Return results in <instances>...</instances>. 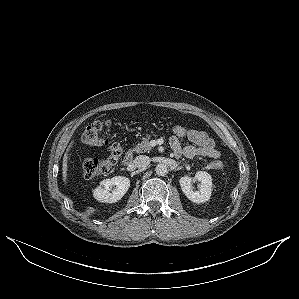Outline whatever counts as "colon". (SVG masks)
Wrapping results in <instances>:
<instances>
[{
    "label": "colon",
    "instance_id": "colon-1",
    "mask_svg": "<svg viewBox=\"0 0 299 299\" xmlns=\"http://www.w3.org/2000/svg\"><path fill=\"white\" fill-rule=\"evenodd\" d=\"M109 126L110 122L108 121H96L88 125L82 133V141L87 146H106L110 151L109 156L104 159L89 157L83 160L82 170L84 176L87 178H93L106 174L117 163L122 155L123 150L118 143H110L101 137L103 129ZM170 132L178 139H188L192 133V129L186 128L182 125L174 124L170 126ZM213 166L217 169L222 168V164L220 162L213 163Z\"/></svg>",
    "mask_w": 299,
    "mask_h": 299
}]
</instances>
